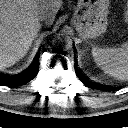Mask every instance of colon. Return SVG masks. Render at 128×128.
<instances>
[{
    "instance_id": "colon-1",
    "label": "colon",
    "mask_w": 128,
    "mask_h": 128,
    "mask_svg": "<svg viewBox=\"0 0 128 128\" xmlns=\"http://www.w3.org/2000/svg\"><path fill=\"white\" fill-rule=\"evenodd\" d=\"M123 18L128 23V0H125Z\"/></svg>"
}]
</instances>
